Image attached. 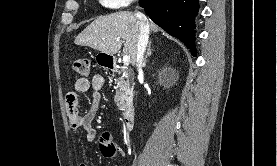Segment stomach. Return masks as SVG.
Wrapping results in <instances>:
<instances>
[{
  "label": "stomach",
  "instance_id": "stomach-1",
  "mask_svg": "<svg viewBox=\"0 0 277 166\" xmlns=\"http://www.w3.org/2000/svg\"><path fill=\"white\" fill-rule=\"evenodd\" d=\"M111 56L112 55L108 56L106 53L99 52L96 55L95 60L100 67L106 68L112 64L113 57Z\"/></svg>",
  "mask_w": 277,
  "mask_h": 166
}]
</instances>
